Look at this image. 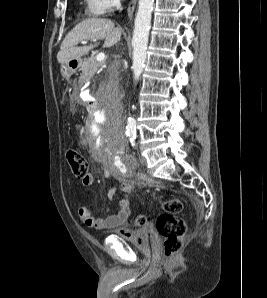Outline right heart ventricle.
I'll list each match as a JSON object with an SVG mask.
<instances>
[{
  "mask_svg": "<svg viewBox=\"0 0 267 298\" xmlns=\"http://www.w3.org/2000/svg\"><path fill=\"white\" fill-rule=\"evenodd\" d=\"M84 11L89 17H100L104 13L100 0H84Z\"/></svg>",
  "mask_w": 267,
  "mask_h": 298,
  "instance_id": "right-heart-ventricle-1",
  "label": "right heart ventricle"
}]
</instances>
